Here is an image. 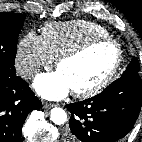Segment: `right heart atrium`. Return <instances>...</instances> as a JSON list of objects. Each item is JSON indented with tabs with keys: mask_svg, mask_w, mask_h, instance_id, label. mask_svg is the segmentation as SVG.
Listing matches in <instances>:
<instances>
[{
	"mask_svg": "<svg viewBox=\"0 0 142 142\" xmlns=\"http://www.w3.org/2000/svg\"><path fill=\"white\" fill-rule=\"evenodd\" d=\"M53 61L41 36L29 32L19 40L15 54V67L23 79L32 78L40 69H48Z\"/></svg>",
	"mask_w": 142,
	"mask_h": 142,
	"instance_id": "1",
	"label": "right heart atrium"
}]
</instances>
